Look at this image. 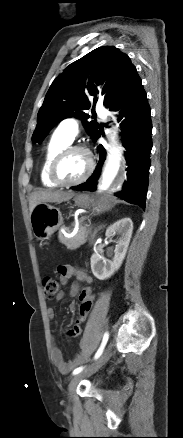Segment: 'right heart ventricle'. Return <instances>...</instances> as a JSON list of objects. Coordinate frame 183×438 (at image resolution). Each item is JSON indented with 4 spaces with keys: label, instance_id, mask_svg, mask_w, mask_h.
<instances>
[{
    "label": "right heart ventricle",
    "instance_id": "1",
    "mask_svg": "<svg viewBox=\"0 0 183 438\" xmlns=\"http://www.w3.org/2000/svg\"><path fill=\"white\" fill-rule=\"evenodd\" d=\"M71 143L72 140H70L58 131L54 132V134L51 136L45 147L40 167V178L44 187H56V185L50 180L48 175L50 164L55 155L63 148L69 146Z\"/></svg>",
    "mask_w": 183,
    "mask_h": 438
}]
</instances>
